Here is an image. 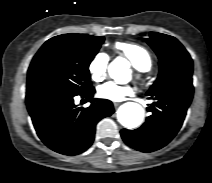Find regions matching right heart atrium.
Returning a JSON list of instances; mask_svg holds the SVG:
<instances>
[{
    "mask_svg": "<svg viewBox=\"0 0 212 183\" xmlns=\"http://www.w3.org/2000/svg\"><path fill=\"white\" fill-rule=\"evenodd\" d=\"M108 61V55L103 52L97 53L91 59L88 64V72L93 81L99 82L105 77Z\"/></svg>",
    "mask_w": 212,
    "mask_h": 183,
    "instance_id": "obj_1",
    "label": "right heart atrium"
}]
</instances>
